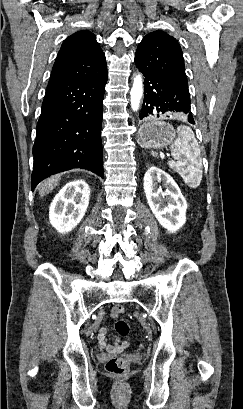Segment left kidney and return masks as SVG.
Listing matches in <instances>:
<instances>
[{"mask_svg": "<svg viewBox=\"0 0 243 409\" xmlns=\"http://www.w3.org/2000/svg\"><path fill=\"white\" fill-rule=\"evenodd\" d=\"M161 182L165 191L158 187ZM144 191L153 214L165 229L173 233L185 224L187 203L169 174L150 167L144 176Z\"/></svg>", "mask_w": 243, "mask_h": 409, "instance_id": "left-kidney-1", "label": "left kidney"}]
</instances>
